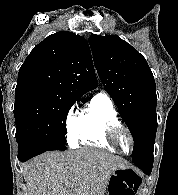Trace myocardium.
Instances as JSON below:
<instances>
[{
	"label": "myocardium",
	"instance_id": "f54148a6",
	"mask_svg": "<svg viewBox=\"0 0 178 195\" xmlns=\"http://www.w3.org/2000/svg\"><path fill=\"white\" fill-rule=\"evenodd\" d=\"M126 132L130 138L131 141V150L129 152H124L118 145V137L120 132ZM106 138L109 141L111 145H113L117 151H119L122 154L128 155L133 152L134 147H135V137L133 132L128 128L127 126L123 125L122 123H115L109 126L107 133H106Z\"/></svg>",
	"mask_w": 178,
	"mask_h": 195
}]
</instances>
